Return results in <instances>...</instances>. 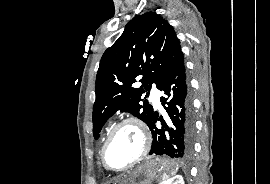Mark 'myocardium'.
<instances>
[{
	"label": "myocardium",
	"instance_id": "f54148a6",
	"mask_svg": "<svg viewBox=\"0 0 270 184\" xmlns=\"http://www.w3.org/2000/svg\"><path fill=\"white\" fill-rule=\"evenodd\" d=\"M127 124H131L134 125L140 132L141 136H142V141H143V146H142V150L141 153L139 154V156L132 161L130 164L122 167V168H113L111 167L108 163H107V159H106V155H107V151L108 148L112 142V140L114 139L115 135L117 134V132L124 126ZM150 147H151V136L150 133L147 129V127L145 126V124L137 117H126L122 120H120L119 122H117L111 129L110 133L108 134L102 150H101V161L103 166L112 172H123L126 170L131 169L132 167L136 166L137 164H139L141 161H143L146 156L148 155L149 151H150Z\"/></svg>",
	"mask_w": 270,
	"mask_h": 184
}]
</instances>
